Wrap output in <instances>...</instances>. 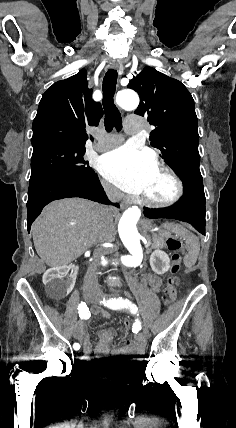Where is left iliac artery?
<instances>
[{
  "mask_svg": "<svg viewBox=\"0 0 236 428\" xmlns=\"http://www.w3.org/2000/svg\"><path fill=\"white\" fill-rule=\"evenodd\" d=\"M101 302L104 304V306H107L108 308L113 309V310H117V309H121V308H128V307L132 306L131 302L129 300H127V299L123 300L122 298H118V299L112 298V299H109L107 301H105V299H103V301H101Z\"/></svg>",
  "mask_w": 236,
  "mask_h": 428,
  "instance_id": "left-iliac-artery-1",
  "label": "left iliac artery"
}]
</instances>
